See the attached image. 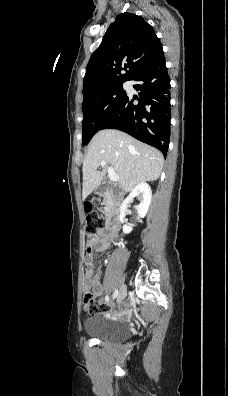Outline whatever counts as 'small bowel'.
I'll use <instances>...</instances> for the list:
<instances>
[{
  "instance_id": "small-bowel-1",
  "label": "small bowel",
  "mask_w": 228,
  "mask_h": 396,
  "mask_svg": "<svg viewBox=\"0 0 228 396\" xmlns=\"http://www.w3.org/2000/svg\"><path fill=\"white\" fill-rule=\"evenodd\" d=\"M115 238V233L109 229H98L91 238L87 240L86 243V255H85V273L84 281L85 283H90L92 285V291L98 295L102 296L103 287L101 283V271H94L93 260L95 252H103L109 249L111 241ZM129 304L123 305L121 311L117 310V315L115 318H121L128 312ZM115 320V319H114Z\"/></svg>"
}]
</instances>
